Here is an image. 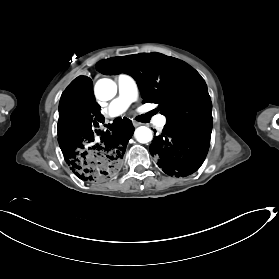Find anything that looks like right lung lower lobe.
Returning a JSON list of instances; mask_svg holds the SVG:
<instances>
[{
    "instance_id": "right-lung-lower-lobe-1",
    "label": "right lung lower lobe",
    "mask_w": 279,
    "mask_h": 279,
    "mask_svg": "<svg viewBox=\"0 0 279 279\" xmlns=\"http://www.w3.org/2000/svg\"><path fill=\"white\" fill-rule=\"evenodd\" d=\"M104 117L95 102L92 80L74 79L59 103L58 141L72 172L87 182L113 178L122 166L123 155L134 127L127 118H117L105 132H94Z\"/></svg>"
}]
</instances>
